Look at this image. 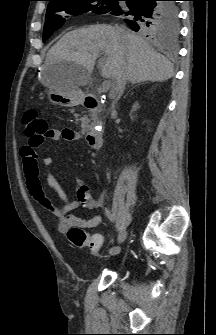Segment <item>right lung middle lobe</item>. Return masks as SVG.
Masks as SVG:
<instances>
[{
  "mask_svg": "<svg viewBox=\"0 0 216 335\" xmlns=\"http://www.w3.org/2000/svg\"><path fill=\"white\" fill-rule=\"evenodd\" d=\"M120 0H61L53 1L48 5L47 15L45 18L43 41L45 42L51 34L59 29L65 22L64 16L61 12L70 15H79L88 11L98 14L110 13ZM168 6L176 7L174 2H169ZM177 8V7H176ZM68 17V16H65ZM152 35H176L178 33V26L176 25L172 30L166 29L160 34L150 33Z\"/></svg>",
  "mask_w": 216,
  "mask_h": 335,
  "instance_id": "dd1d6c3e",
  "label": "right lung middle lobe"
}]
</instances>
